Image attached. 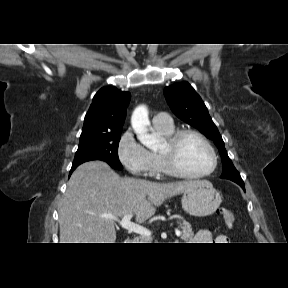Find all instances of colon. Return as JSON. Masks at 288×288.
Instances as JSON below:
<instances>
[{
  "label": "colon",
  "instance_id": "1",
  "mask_svg": "<svg viewBox=\"0 0 288 288\" xmlns=\"http://www.w3.org/2000/svg\"><path fill=\"white\" fill-rule=\"evenodd\" d=\"M222 218H223V221H224V224H225V227L229 230L233 229L234 227V224H235V215L234 213L229 210V209H225V208H221L219 210Z\"/></svg>",
  "mask_w": 288,
  "mask_h": 288
}]
</instances>
